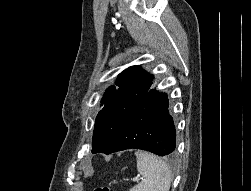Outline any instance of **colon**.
<instances>
[{"label":"colon","mask_w":251,"mask_h":191,"mask_svg":"<svg viewBox=\"0 0 251 191\" xmlns=\"http://www.w3.org/2000/svg\"><path fill=\"white\" fill-rule=\"evenodd\" d=\"M95 191H112L110 187H97Z\"/></svg>","instance_id":"obj_1"}]
</instances>
